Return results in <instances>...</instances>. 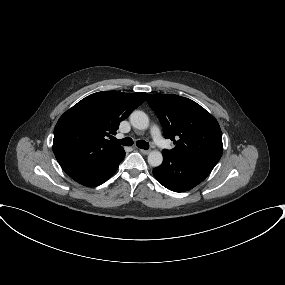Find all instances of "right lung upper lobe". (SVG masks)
<instances>
[{
  "label": "right lung upper lobe",
  "mask_w": 285,
  "mask_h": 285,
  "mask_svg": "<svg viewBox=\"0 0 285 285\" xmlns=\"http://www.w3.org/2000/svg\"><path fill=\"white\" fill-rule=\"evenodd\" d=\"M146 95L105 91L79 101L55 126L53 152L56 159L81 155L93 160L121 152V146L106 138L116 134L119 123L145 101Z\"/></svg>",
  "instance_id": "1"
}]
</instances>
